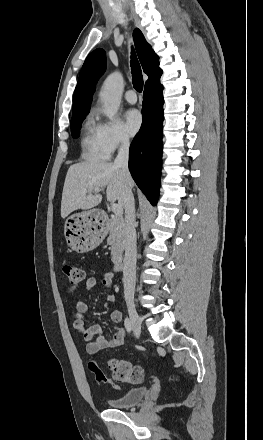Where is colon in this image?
<instances>
[{
	"instance_id": "5ec220e1",
	"label": "colon",
	"mask_w": 263,
	"mask_h": 440,
	"mask_svg": "<svg viewBox=\"0 0 263 440\" xmlns=\"http://www.w3.org/2000/svg\"><path fill=\"white\" fill-rule=\"evenodd\" d=\"M63 272L72 287H78L85 279V271L76 265H65ZM109 368L115 382L140 383L144 378L143 369L129 361L111 359ZM91 370L99 383L113 385L112 381L96 365L92 364Z\"/></svg>"
}]
</instances>
